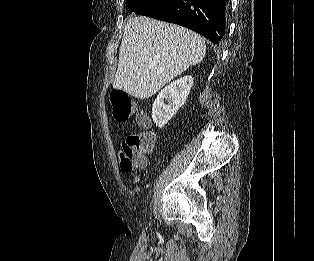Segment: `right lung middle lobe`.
Segmentation results:
<instances>
[{"label":"right lung middle lobe","mask_w":314,"mask_h":261,"mask_svg":"<svg viewBox=\"0 0 314 261\" xmlns=\"http://www.w3.org/2000/svg\"><path fill=\"white\" fill-rule=\"evenodd\" d=\"M165 0H126L129 11L138 15H144L153 8L162 4Z\"/></svg>","instance_id":"dd1d6c3e"}]
</instances>
